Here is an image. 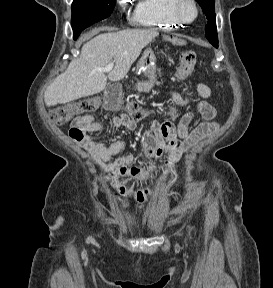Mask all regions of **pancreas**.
<instances>
[{"label": "pancreas", "instance_id": "pancreas-1", "mask_svg": "<svg viewBox=\"0 0 273 288\" xmlns=\"http://www.w3.org/2000/svg\"><path fill=\"white\" fill-rule=\"evenodd\" d=\"M159 76H161V73H160V71H159ZM149 78H151V76H148ZM153 77H154V75H153ZM163 83V81H161V82H159V81H156V84L157 85H161Z\"/></svg>", "mask_w": 273, "mask_h": 288}]
</instances>
